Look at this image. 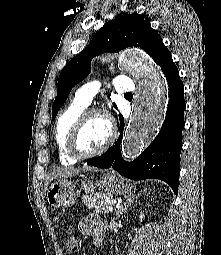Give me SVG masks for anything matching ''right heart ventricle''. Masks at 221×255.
<instances>
[{"label": "right heart ventricle", "instance_id": "right-heart-ventricle-1", "mask_svg": "<svg viewBox=\"0 0 221 255\" xmlns=\"http://www.w3.org/2000/svg\"><path fill=\"white\" fill-rule=\"evenodd\" d=\"M86 107L72 102L58 116L54 126V142L59 161L64 166H72L77 163L68 152L67 142L70 131L75 122L82 115Z\"/></svg>", "mask_w": 221, "mask_h": 255}]
</instances>
